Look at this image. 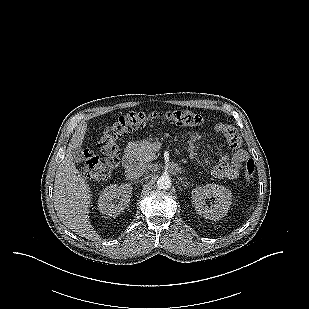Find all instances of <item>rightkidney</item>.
<instances>
[{
	"label": "right kidney",
	"mask_w": 309,
	"mask_h": 309,
	"mask_svg": "<svg viewBox=\"0 0 309 309\" xmlns=\"http://www.w3.org/2000/svg\"><path fill=\"white\" fill-rule=\"evenodd\" d=\"M131 193L132 186L130 184L110 185L102 191L98 199V209L102 214L115 218L128 206ZM116 199L120 201L114 204Z\"/></svg>",
	"instance_id": "ca27d5eb"
}]
</instances>
